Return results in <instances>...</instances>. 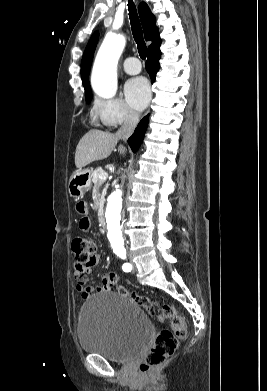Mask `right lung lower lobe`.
<instances>
[{
	"label": "right lung lower lobe",
	"instance_id": "obj_1",
	"mask_svg": "<svg viewBox=\"0 0 267 391\" xmlns=\"http://www.w3.org/2000/svg\"><path fill=\"white\" fill-rule=\"evenodd\" d=\"M161 56L160 49H157L153 52L148 53V59L145 64L146 70L150 75L152 83L155 81L156 73L159 70V59ZM149 120V115L145 116L140 123L138 124L137 128L135 129L133 135L128 139V144L130 145L133 152H136L138 148L140 147L145 131L147 129Z\"/></svg>",
	"mask_w": 267,
	"mask_h": 391
}]
</instances>
